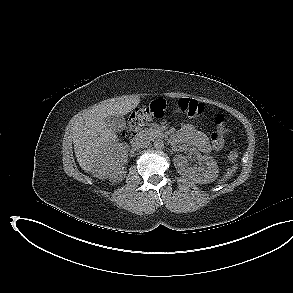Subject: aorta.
I'll use <instances>...</instances> for the list:
<instances>
[{
  "label": "aorta",
  "instance_id": "762f6f07",
  "mask_svg": "<svg viewBox=\"0 0 293 293\" xmlns=\"http://www.w3.org/2000/svg\"><path fill=\"white\" fill-rule=\"evenodd\" d=\"M154 147H155V149H157V150H161V149H163V148H164V142H163V140H160V139L156 140V141L154 142Z\"/></svg>",
  "mask_w": 293,
  "mask_h": 293
}]
</instances>
